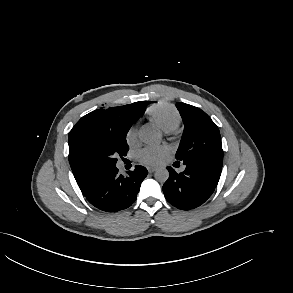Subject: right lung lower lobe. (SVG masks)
Returning <instances> with one entry per match:
<instances>
[{"label":"right lung lower lobe","instance_id":"right-lung-lower-lobe-1","mask_svg":"<svg viewBox=\"0 0 293 293\" xmlns=\"http://www.w3.org/2000/svg\"><path fill=\"white\" fill-rule=\"evenodd\" d=\"M127 176L118 174L115 167L103 174L95 186L84 196L96 208L106 212H117L130 207L137 198L140 184L147 176V169L135 166Z\"/></svg>","mask_w":293,"mask_h":293}]
</instances>
